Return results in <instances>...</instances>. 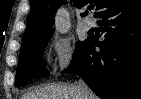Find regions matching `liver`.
<instances>
[{"label":"liver","instance_id":"1","mask_svg":"<svg viewBox=\"0 0 141 99\" xmlns=\"http://www.w3.org/2000/svg\"><path fill=\"white\" fill-rule=\"evenodd\" d=\"M21 99H83V96L75 84H52L30 91ZM93 99L98 97L94 95Z\"/></svg>","mask_w":141,"mask_h":99}]
</instances>
